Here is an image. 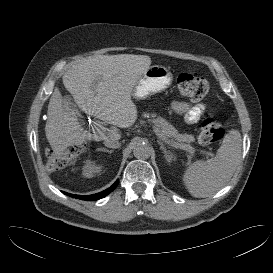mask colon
Here are the masks:
<instances>
[{"mask_svg":"<svg viewBox=\"0 0 273 273\" xmlns=\"http://www.w3.org/2000/svg\"><path fill=\"white\" fill-rule=\"evenodd\" d=\"M178 90L184 96L193 100H199L206 97L211 86L207 79L195 76L190 73H182L176 80ZM225 131L223 126L213 117L207 116L203 119L200 133L199 143L202 146H210L218 143L224 137ZM81 151V146H74L69 153L63 157H57L53 153L48 154V167L52 171L62 169L66 166L68 158Z\"/></svg>","mask_w":273,"mask_h":273,"instance_id":"colon-1","label":"colon"}]
</instances>
